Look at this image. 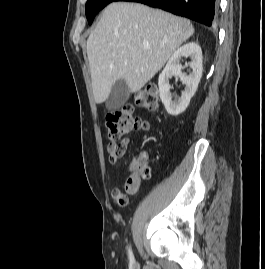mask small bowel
<instances>
[{
  "label": "small bowel",
  "instance_id": "1",
  "mask_svg": "<svg viewBox=\"0 0 265 269\" xmlns=\"http://www.w3.org/2000/svg\"><path fill=\"white\" fill-rule=\"evenodd\" d=\"M145 127L141 131H148L150 126L149 122L145 120ZM127 149V142H116L111 141L107 146L109 154V160L111 163H118L124 156ZM140 187V179L135 176H130L125 183L126 193L121 192L118 188L111 190V197L114 203L119 207H125L128 204L129 196L134 195L138 192Z\"/></svg>",
  "mask_w": 265,
  "mask_h": 269
}]
</instances>
